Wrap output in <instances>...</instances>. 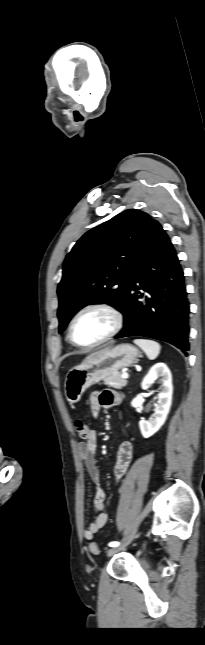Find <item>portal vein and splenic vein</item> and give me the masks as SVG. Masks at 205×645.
<instances>
[{"mask_svg":"<svg viewBox=\"0 0 205 645\" xmlns=\"http://www.w3.org/2000/svg\"><path fill=\"white\" fill-rule=\"evenodd\" d=\"M128 377H129V375L127 373L122 374V378L127 379Z\"/></svg>","mask_w":205,"mask_h":645,"instance_id":"1","label":"portal vein and splenic vein"}]
</instances>
